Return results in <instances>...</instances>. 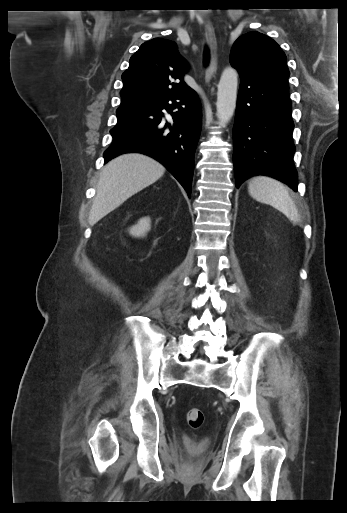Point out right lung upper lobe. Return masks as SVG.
I'll use <instances>...</instances> for the list:
<instances>
[{"label": "right lung upper lobe", "mask_w": 347, "mask_h": 513, "mask_svg": "<svg viewBox=\"0 0 347 513\" xmlns=\"http://www.w3.org/2000/svg\"><path fill=\"white\" fill-rule=\"evenodd\" d=\"M186 71L187 62L174 42L155 38L143 43L122 75L120 108L136 109L190 90L183 81ZM170 78L180 82L171 83Z\"/></svg>", "instance_id": "cb5924a9"}]
</instances>
